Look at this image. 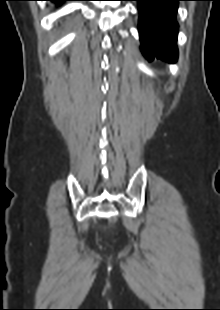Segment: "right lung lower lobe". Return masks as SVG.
<instances>
[{
	"label": "right lung lower lobe",
	"mask_w": 220,
	"mask_h": 310,
	"mask_svg": "<svg viewBox=\"0 0 220 310\" xmlns=\"http://www.w3.org/2000/svg\"><path fill=\"white\" fill-rule=\"evenodd\" d=\"M47 1L64 2V1H70V0H47Z\"/></svg>",
	"instance_id": "right-lung-lower-lobe-1"
}]
</instances>
